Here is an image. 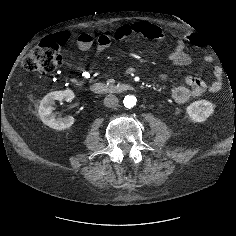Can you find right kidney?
I'll list each match as a JSON object with an SVG mask.
<instances>
[{"mask_svg":"<svg viewBox=\"0 0 236 236\" xmlns=\"http://www.w3.org/2000/svg\"><path fill=\"white\" fill-rule=\"evenodd\" d=\"M74 97L75 95L71 90L55 91L47 94L41 100L38 110L42 122L56 130H64L71 127L74 123V118L72 116L61 117L59 113H54L52 105L55 100L64 99L66 101H72Z\"/></svg>","mask_w":236,"mask_h":236,"instance_id":"1","label":"right kidney"}]
</instances>
